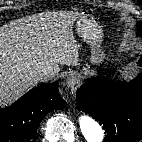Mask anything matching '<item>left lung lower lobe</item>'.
Segmentation results:
<instances>
[{
  "mask_svg": "<svg viewBox=\"0 0 142 142\" xmlns=\"http://www.w3.org/2000/svg\"><path fill=\"white\" fill-rule=\"evenodd\" d=\"M139 64L142 66V57ZM76 97L77 108L103 124L104 142L141 140L142 73L130 82L89 78Z\"/></svg>",
  "mask_w": 142,
  "mask_h": 142,
  "instance_id": "1",
  "label": "left lung lower lobe"
}]
</instances>
